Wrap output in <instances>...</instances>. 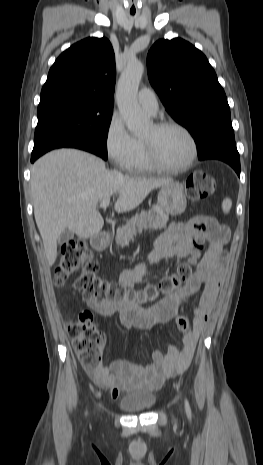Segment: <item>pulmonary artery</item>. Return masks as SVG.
Segmentation results:
<instances>
[{
  "label": "pulmonary artery",
  "instance_id": "pulmonary-artery-1",
  "mask_svg": "<svg viewBox=\"0 0 263 465\" xmlns=\"http://www.w3.org/2000/svg\"><path fill=\"white\" fill-rule=\"evenodd\" d=\"M139 105L149 114L155 115L158 111V100L155 93L149 88H142L138 93Z\"/></svg>",
  "mask_w": 263,
  "mask_h": 465
}]
</instances>
